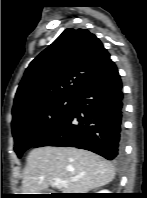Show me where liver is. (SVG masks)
<instances>
[{"mask_svg": "<svg viewBox=\"0 0 147 198\" xmlns=\"http://www.w3.org/2000/svg\"><path fill=\"white\" fill-rule=\"evenodd\" d=\"M114 177L113 164L97 154L74 147L43 146L27 157L22 194H42L56 178L68 182L61 186V193H87L107 185Z\"/></svg>", "mask_w": 147, "mask_h": 198, "instance_id": "obj_1", "label": "liver"}]
</instances>
